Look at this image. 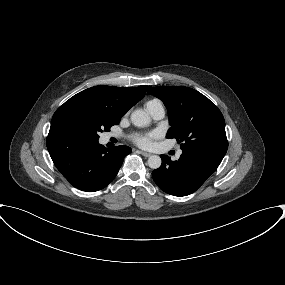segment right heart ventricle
Masks as SVG:
<instances>
[{
	"mask_svg": "<svg viewBox=\"0 0 285 285\" xmlns=\"http://www.w3.org/2000/svg\"><path fill=\"white\" fill-rule=\"evenodd\" d=\"M154 102H158V100H155V99H154V100H150V101L147 102L146 105H148V104H150V103H154Z\"/></svg>",
	"mask_w": 285,
	"mask_h": 285,
	"instance_id": "1",
	"label": "right heart ventricle"
}]
</instances>
